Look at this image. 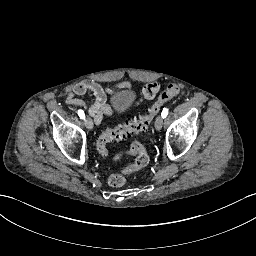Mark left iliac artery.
I'll return each instance as SVG.
<instances>
[{
    "label": "left iliac artery",
    "instance_id": "left-iliac-artery-1",
    "mask_svg": "<svg viewBox=\"0 0 256 256\" xmlns=\"http://www.w3.org/2000/svg\"><path fill=\"white\" fill-rule=\"evenodd\" d=\"M167 115H168V109H167V108H163V111H162V113H161V116H162L163 118H166Z\"/></svg>",
    "mask_w": 256,
    "mask_h": 256
}]
</instances>
